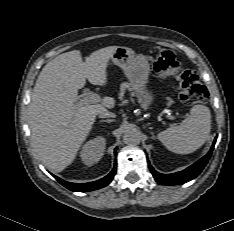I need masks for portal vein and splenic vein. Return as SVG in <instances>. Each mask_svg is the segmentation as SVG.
Segmentation results:
<instances>
[{"label":"portal vein and splenic vein","mask_w":234,"mask_h":231,"mask_svg":"<svg viewBox=\"0 0 234 231\" xmlns=\"http://www.w3.org/2000/svg\"><path fill=\"white\" fill-rule=\"evenodd\" d=\"M99 102H101L100 96L96 93H92L91 95L81 99L79 103L84 105V104H94V103H99ZM167 117L171 120L176 119V117L172 115L167 116Z\"/></svg>","instance_id":"1"}]
</instances>
